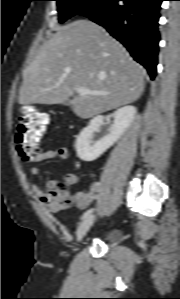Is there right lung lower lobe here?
Listing matches in <instances>:
<instances>
[{
  "label": "right lung lower lobe",
  "mask_w": 180,
  "mask_h": 299,
  "mask_svg": "<svg viewBox=\"0 0 180 299\" xmlns=\"http://www.w3.org/2000/svg\"><path fill=\"white\" fill-rule=\"evenodd\" d=\"M163 0H104L82 15L106 28L131 56L156 75L158 19Z\"/></svg>",
  "instance_id": "obj_1"
}]
</instances>
